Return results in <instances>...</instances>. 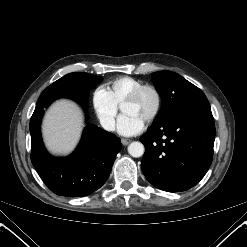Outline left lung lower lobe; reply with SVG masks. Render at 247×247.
<instances>
[{"instance_id":"left-lung-lower-lobe-1","label":"left lung lower lobe","mask_w":247,"mask_h":247,"mask_svg":"<svg viewBox=\"0 0 247 247\" xmlns=\"http://www.w3.org/2000/svg\"><path fill=\"white\" fill-rule=\"evenodd\" d=\"M214 139L208 100L191 102L169 118L155 119L140 138L145 146L143 174L161 190H188L209 169Z\"/></svg>"}]
</instances>
